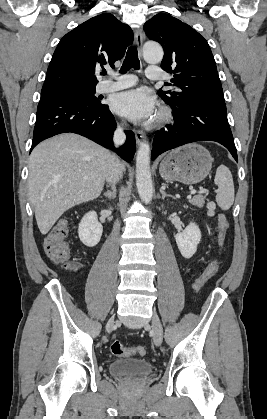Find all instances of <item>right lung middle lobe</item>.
Segmentation results:
<instances>
[{"label":"right lung middle lobe","instance_id":"1","mask_svg":"<svg viewBox=\"0 0 267 419\" xmlns=\"http://www.w3.org/2000/svg\"><path fill=\"white\" fill-rule=\"evenodd\" d=\"M56 92L75 97L76 99L85 102L86 104L91 106H100L102 104L99 98L94 96L95 87L67 85L56 90Z\"/></svg>","mask_w":267,"mask_h":419}]
</instances>
